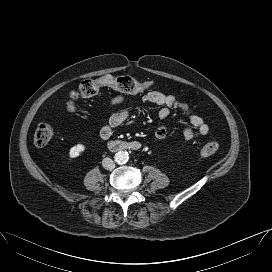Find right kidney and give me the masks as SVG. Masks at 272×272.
I'll use <instances>...</instances> for the list:
<instances>
[{"label": "right kidney", "mask_w": 272, "mask_h": 272, "mask_svg": "<svg viewBox=\"0 0 272 272\" xmlns=\"http://www.w3.org/2000/svg\"><path fill=\"white\" fill-rule=\"evenodd\" d=\"M86 149L85 145L83 144H77L73 146L69 151V156L71 158L78 157L84 150Z\"/></svg>", "instance_id": "right-kidney-1"}]
</instances>
